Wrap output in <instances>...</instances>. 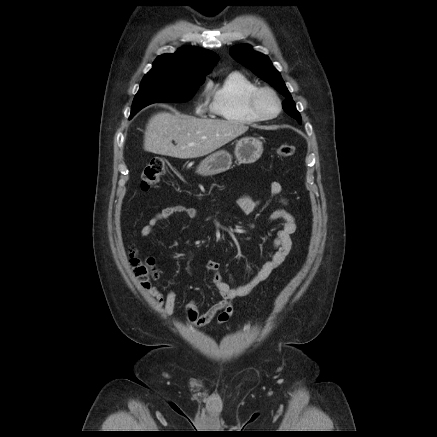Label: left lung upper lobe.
I'll return each mask as SVG.
<instances>
[{
	"instance_id": "1",
	"label": "left lung upper lobe",
	"mask_w": 437,
	"mask_h": 437,
	"mask_svg": "<svg viewBox=\"0 0 437 437\" xmlns=\"http://www.w3.org/2000/svg\"><path fill=\"white\" fill-rule=\"evenodd\" d=\"M229 53L239 63L252 70L258 77L272 85L285 96L286 100L282 103L283 109L301 123V116L296 110L290 92L286 88L280 73L273 67L266 55L253 51L251 46L245 44L232 47Z\"/></svg>"
}]
</instances>
